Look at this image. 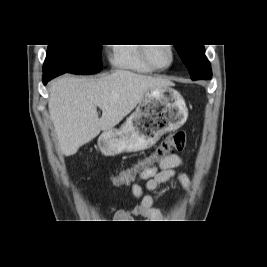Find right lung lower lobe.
<instances>
[{"label":"right lung lower lobe","mask_w":267,"mask_h":267,"mask_svg":"<svg viewBox=\"0 0 267 267\" xmlns=\"http://www.w3.org/2000/svg\"><path fill=\"white\" fill-rule=\"evenodd\" d=\"M63 74L62 72L48 71L43 72V83L46 85L51 79Z\"/></svg>","instance_id":"obj_1"}]
</instances>
